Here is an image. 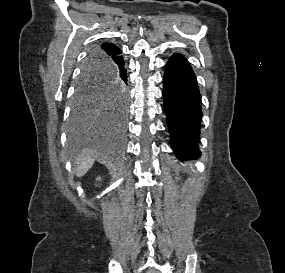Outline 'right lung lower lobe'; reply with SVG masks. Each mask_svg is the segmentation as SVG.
I'll list each match as a JSON object with an SVG mask.
<instances>
[{"mask_svg": "<svg viewBox=\"0 0 285 273\" xmlns=\"http://www.w3.org/2000/svg\"><path fill=\"white\" fill-rule=\"evenodd\" d=\"M121 53L108 57L109 62L111 64L112 70L114 72V75L116 79L122 84H127V75H126V69L124 68V60L123 57L120 56Z\"/></svg>", "mask_w": 285, "mask_h": 273, "instance_id": "1", "label": "right lung lower lobe"}]
</instances>
